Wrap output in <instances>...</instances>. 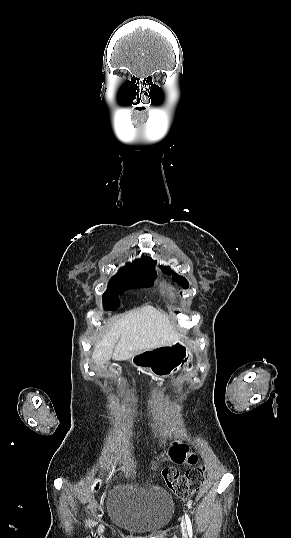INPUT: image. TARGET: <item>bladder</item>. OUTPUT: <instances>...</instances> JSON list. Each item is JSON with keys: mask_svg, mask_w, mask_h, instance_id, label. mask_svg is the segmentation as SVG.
Masks as SVG:
<instances>
[{"mask_svg": "<svg viewBox=\"0 0 291 538\" xmlns=\"http://www.w3.org/2000/svg\"><path fill=\"white\" fill-rule=\"evenodd\" d=\"M109 521L133 534H153L171 520L173 500L155 483L137 484L130 474L120 473L107 493ZM141 538V537H140Z\"/></svg>", "mask_w": 291, "mask_h": 538, "instance_id": "obj_1", "label": "bladder"}]
</instances>
